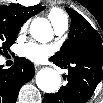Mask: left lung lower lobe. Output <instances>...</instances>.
<instances>
[{
	"mask_svg": "<svg viewBox=\"0 0 103 103\" xmlns=\"http://www.w3.org/2000/svg\"><path fill=\"white\" fill-rule=\"evenodd\" d=\"M89 56L74 55L67 61L50 60L61 68L68 69L67 85L57 93L45 94L44 103H86L93 95L102 79L103 47L102 41L89 42Z\"/></svg>",
	"mask_w": 103,
	"mask_h": 103,
	"instance_id": "left-lung-lower-lobe-1",
	"label": "left lung lower lobe"
}]
</instances>
